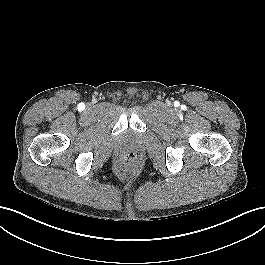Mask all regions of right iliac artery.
Instances as JSON below:
<instances>
[{"instance_id":"obj_1","label":"right iliac artery","mask_w":265,"mask_h":265,"mask_svg":"<svg viewBox=\"0 0 265 265\" xmlns=\"http://www.w3.org/2000/svg\"><path fill=\"white\" fill-rule=\"evenodd\" d=\"M79 107L80 108H84V104H79Z\"/></svg>"}]
</instances>
